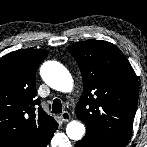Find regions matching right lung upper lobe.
<instances>
[{
  "label": "right lung upper lobe",
  "instance_id": "1",
  "mask_svg": "<svg viewBox=\"0 0 147 147\" xmlns=\"http://www.w3.org/2000/svg\"><path fill=\"white\" fill-rule=\"evenodd\" d=\"M47 50H18L0 59V147H38L58 127L36 98V71Z\"/></svg>",
  "mask_w": 147,
  "mask_h": 147
}]
</instances>
